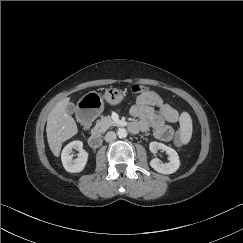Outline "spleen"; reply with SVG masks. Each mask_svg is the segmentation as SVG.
I'll return each instance as SVG.
<instances>
[{
  "label": "spleen",
  "mask_w": 243,
  "mask_h": 243,
  "mask_svg": "<svg viewBox=\"0 0 243 243\" xmlns=\"http://www.w3.org/2000/svg\"><path fill=\"white\" fill-rule=\"evenodd\" d=\"M180 138L183 144H187L192 136V120L188 113H182L180 117Z\"/></svg>",
  "instance_id": "obj_1"
}]
</instances>
